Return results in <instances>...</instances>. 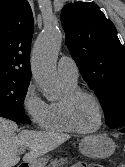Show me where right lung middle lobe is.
<instances>
[{"label":"right lung middle lobe","instance_id":"1","mask_svg":"<svg viewBox=\"0 0 125 167\" xmlns=\"http://www.w3.org/2000/svg\"><path fill=\"white\" fill-rule=\"evenodd\" d=\"M29 83L0 80V105L25 113L23 102Z\"/></svg>","mask_w":125,"mask_h":167}]
</instances>
